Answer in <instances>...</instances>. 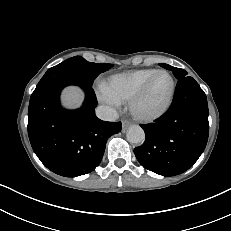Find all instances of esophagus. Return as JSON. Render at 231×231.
Masks as SVG:
<instances>
[{"label": "esophagus", "instance_id": "obj_1", "mask_svg": "<svg viewBox=\"0 0 231 231\" xmlns=\"http://www.w3.org/2000/svg\"><path fill=\"white\" fill-rule=\"evenodd\" d=\"M130 126V123L128 121L122 122V130L125 131Z\"/></svg>", "mask_w": 231, "mask_h": 231}]
</instances>
